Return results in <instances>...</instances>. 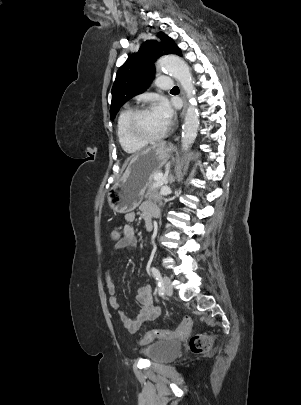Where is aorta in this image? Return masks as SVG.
<instances>
[{
	"mask_svg": "<svg viewBox=\"0 0 301 405\" xmlns=\"http://www.w3.org/2000/svg\"><path fill=\"white\" fill-rule=\"evenodd\" d=\"M158 67L170 73L180 82L189 99L181 139L182 149L188 151L197 137L199 127V112L194 98L195 89L192 74L187 63L182 58L174 55L161 58Z\"/></svg>",
	"mask_w": 301,
	"mask_h": 405,
	"instance_id": "1",
	"label": "aorta"
}]
</instances>
